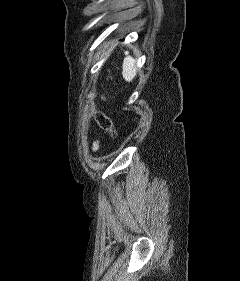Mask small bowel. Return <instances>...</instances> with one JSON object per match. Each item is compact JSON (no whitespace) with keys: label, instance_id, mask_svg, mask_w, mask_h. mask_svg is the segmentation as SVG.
I'll return each instance as SVG.
<instances>
[{"label":"small bowel","instance_id":"obj_1","mask_svg":"<svg viewBox=\"0 0 240 281\" xmlns=\"http://www.w3.org/2000/svg\"><path fill=\"white\" fill-rule=\"evenodd\" d=\"M98 144L95 142L94 149H97Z\"/></svg>","mask_w":240,"mask_h":281}]
</instances>
